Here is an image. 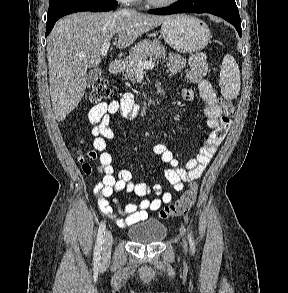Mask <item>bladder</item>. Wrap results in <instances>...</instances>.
Instances as JSON below:
<instances>
[{
    "label": "bladder",
    "mask_w": 288,
    "mask_h": 293,
    "mask_svg": "<svg viewBox=\"0 0 288 293\" xmlns=\"http://www.w3.org/2000/svg\"><path fill=\"white\" fill-rule=\"evenodd\" d=\"M167 229L161 222L150 219L130 227L127 231L128 238L136 243L149 244L162 241Z\"/></svg>",
    "instance_id": "obj_1"
}]
</instances>
